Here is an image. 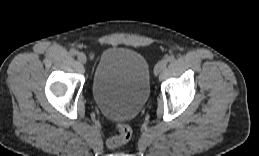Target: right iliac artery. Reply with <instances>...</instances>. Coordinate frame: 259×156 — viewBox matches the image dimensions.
<instances>
[{"instance_id": "1", "label": "right iliac artery", "mask_w": 259, "mask_h": 156, "mask_svg": "<svg viewBox=\"0 0 259 156\" xmlns=\"http://www.w3.org/2000/svg\"><path fill=\"white\" fill-rule=\"evenodd\" d=\"M69 52H70L71 55H76V54L78 53V52H77L75 49H73V48L70 49Z\"/></svg>"}]
</instances>
